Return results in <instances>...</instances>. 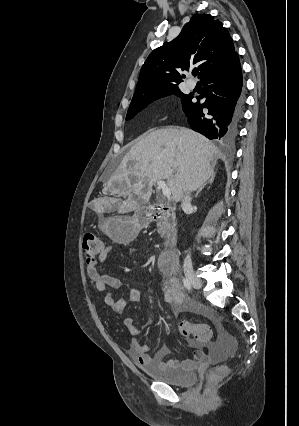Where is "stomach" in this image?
I'll use <instances>...</instances> for the list:
<instances>
[{
    "mask_svg": "<svg viewBox=\"0 0 299 426\" xmlns=\"http://www.w3.org/2000/svg\"><path fill=\"white\" fill-rule=\"evenodd\" d=\"M100 230L117 243H127L137 234V225L132 218L111 216L102 218L99 222Z\"/></svg>",
    "mask_w": 299,
    "mask_h": 426,
    "instance_id": "1",
    "label": "stomach"
}]
</instances>
